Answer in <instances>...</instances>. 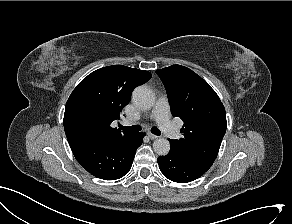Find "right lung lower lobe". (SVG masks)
Returning <instances> with one entry per match:
<instances>
[{"label": "right lung lower lobe", "instance_id": "obj_1", "mask_svg": "<svg viewBox=\"0 0 292 224\" xmlns=\"http://www.w3.org/2000/svg\"><path fill=\"white\" fill-rule=\"evenodd\" d=\"M144 136L139 132L124 139L73 141L69 144L76 160L89 173L100 179L116 180L130 171Z\"/></svg>", "mask_w": 292, "mask_h": 224}]
</instances>
